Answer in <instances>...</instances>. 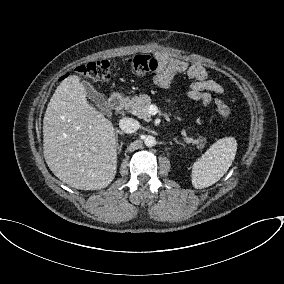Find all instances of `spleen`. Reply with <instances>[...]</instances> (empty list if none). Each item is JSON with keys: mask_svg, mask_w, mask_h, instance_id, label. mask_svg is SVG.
<instances>
[{"mask_svg": "<svg viewBox=\"0 0 284 284\" xmlns=\"http://www.w3.org/2000/svg\"><path fill=\"white\" fill-rule=\"evenodd\" d=\"M237 150L233 137L217 140L192 166V185L197 189L211 186L220 180L231 166Z\"/></svg>", "mask_w": 284, "mask_h": 284, "instance_id": "1", "label": "spleen"}]
</instances>
